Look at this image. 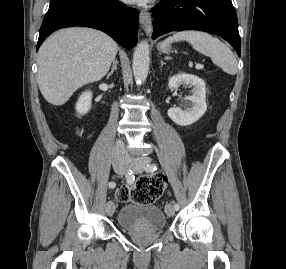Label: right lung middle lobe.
I'll return each mask as SVG.
<instances>
[{"label": "right lung middle lobe", "mask_w": 286, "mask_h": 269, "mask_svg": "<svg viewBox=\"0 0 286 269\" xmlns=\"http://www.w3.org/2000/svg\"><path fill=\"white\" fill-rule=\"evenodd\" d=\"M63 1H66V0H50V6L58 4V3L63 2ZM101 1L106 2V3H111L114 0H101Z\"/></svg>", "instance_id": "dd1d6c3e"}]
</instances>
